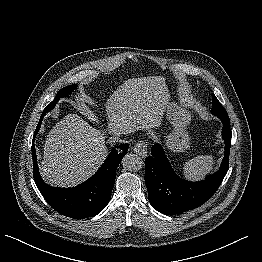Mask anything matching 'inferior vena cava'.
<instances>
[{
    "label": "inferior vena cava",
    "instance_id": "1",
    "mask_svg": "<svg viewBox=\"0 0 262 262\" xmlns=\"http://www.w3.org/2000/svg\"><path fill=\"white\" fill-rule=\"evenodd\" d=\"M111 142L125 143L126 141L120 139L119 136H114L113 139H111Z\"/></svg>",
    "mask_w": 262,
    "mask_h": 262
}]
</instances>
